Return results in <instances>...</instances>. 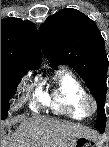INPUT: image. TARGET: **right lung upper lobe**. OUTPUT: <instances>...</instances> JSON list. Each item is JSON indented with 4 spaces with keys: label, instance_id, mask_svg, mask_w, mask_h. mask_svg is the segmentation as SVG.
I'll list each match as a JSON object with an SVG mask.
<instances>
[{
    "label": "right lung upper lobe",
    "instance_id": "right-lung-upper-lobe-1",
    "mask_svg": "<svg viewBox=\"0 0 109 147\" xmlns=\"http://www.w3.org/2000/svg\"><path fill=\"white\" fill-rule=\"evenodd\" d=\"M41 64L39 34L30 21L1 20V65L36 69Z\"/></svg>",
    "mask_w": 109,
    "mask_h": 147
}]
</instances>
